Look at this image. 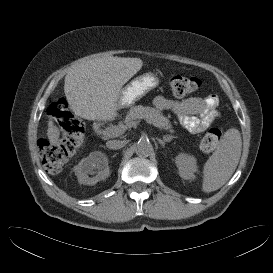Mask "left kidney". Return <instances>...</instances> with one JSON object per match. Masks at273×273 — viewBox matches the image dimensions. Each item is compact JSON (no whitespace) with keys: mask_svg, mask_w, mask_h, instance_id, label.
Masks as SVG:
<instances>
[{"mask_svg":"<svg viewBox=\"0 0 273 273\" xmlns=\"http://www.w3.org/2000/svg\"><path fill=\"white\" fill-rule=\"evenodd\" d=\"M175 163L180 177L185 180H192L195 178L194 173L197 171V161L195 157L180 153L176 156Z\"/></svg>","mask_w":273,"mask_h":273,"instance_id":"1","label":"left kidney"}]
</instances>
